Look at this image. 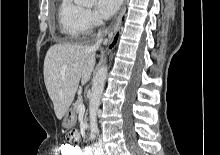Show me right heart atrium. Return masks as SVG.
<instances>
[{
  "instance_id": "1",
  "label": "right heart atrium",
  "mask_w": 220,
  "mask_h": 155,
  "mask_svg": "<svg viewBox=\"0 0 220 155\" xmlns=\"http://www.w3.org/2000/svg\"><path fill=\"white\" fill-rule=\"evenodd\" d=\"M84 21L86 32H90L102 24L100 16L92 10H85Z\"/></svg>"
}]
</instances>
